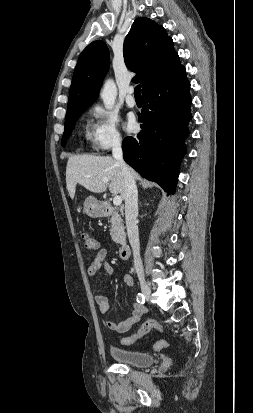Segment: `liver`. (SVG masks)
<instances>
[{
  "instance_id": "1",
  "label": "liver",
  "mask_w": 253,
  "mask_h": 413,
  "mask_svg": "<svg viewBox=\"0 0 253 413\" xmlns=\"http://www.w3.org/2000/svg\"><path fill=\"white\" fill-rule=\"evenodd\" d=\"M134 179L139 175L133 170ZM108 179V182H104ZM82 185L94 193H102L109 186L112 194H120L125 199V182L121 167L111 156L78 155L68 159L66 167V185L70 198L73 199L76 184Z\"/></svg>"
}]
</instances>
